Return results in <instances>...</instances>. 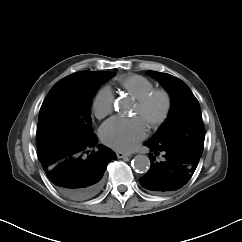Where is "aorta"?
<instances>
[{
	"label": "aorta",
	"instance_id": "obj_1",
	"mask_svg": "<svg viewBox=\"0 0 242 242\" xmlns=\"http://www.w3.org/2000/svg\"><path fill=\"white\" fill-rule=\"evenodd\" d=\"M133 167L139 173H146L150 167V159L146 155H137L133 159Z\"/></svg>",
	"mask_w": 242,
	"mask_h": 242
}]
</instances>
